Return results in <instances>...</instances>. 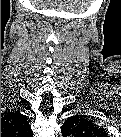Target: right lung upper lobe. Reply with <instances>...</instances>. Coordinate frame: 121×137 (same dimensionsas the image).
I'll return each instance as SVG.
<instances>
[{
  "label": "right lung upper lobe",
  "mask_w": 121,
  "mask_h": 137,
  "mask_svg": "<svg viewBox=\"0 0 121 137\" xmlns=\"http://www.w3.org/2000/svg\"><path fill=\"white\" fill-rule=\"evenodd\" d=\"M29 123L26 117L18 111L8 112L1 117V135L2 134H22L30 132Z\"/></svg>",
  "instance_id": "1"
}]
</instances>
